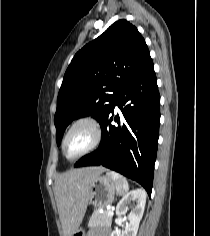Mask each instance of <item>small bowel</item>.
<instances>
[{"instance_id": "obj_1", "label": "small bowel", "mask_w": 210, "mask_h": 236, "mask_svg": "<svg viewBox=\"0 0 210 236\" xmlns=\"http://www.w3.org/2000/svg\"><path fill=\"white\" fill-rule=\"evenodd\" d=\"M89 236H109V234L104 232H91Z\"/></svg>"}]
</instances>
